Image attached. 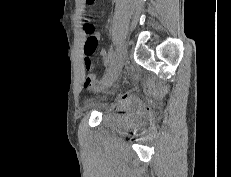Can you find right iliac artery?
I'll list each match as a JSON object with an SVG mask.
<instances>
[{
  "label": "right iliac artery",
  "instance_id": "obj_1",
  "mask_svg": "<svg viewBox=\"0 0 231 177\" xmlns=\"http://www.w3.org/2000/svg\"><path fill=\"white\" fill-rule=\"evenodd\" d=\"M114 57H115V52H114V50L111 48V49L109 50L108 60H107V62H106V66H107V67H111V66H112L113 61H114Z\"/></svg>",
  "mask_w": 231,
  "mask_h": 177
}]
</instances>
